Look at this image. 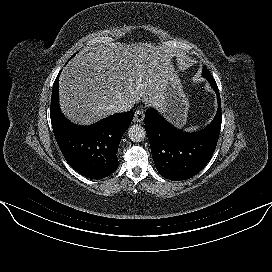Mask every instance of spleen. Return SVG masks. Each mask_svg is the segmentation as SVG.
Here are the masks:
<instances>
[{
    "mask_svg": "<svg viewBox=\"0 0 272 272\" xmlns=\"http://www.w3.org/2000/svg\"><path fill=\"white\" fill-rule=\"evenodd\" d=\"M197 129H199V126L189 127L186 129V131L191 132V131H196Z\"/></svg>",
    "mask_w": 272,
    "mask_h": 272,
    "instance_id": "3e777b00",
    "label": "spleen"
}]
</instances>
